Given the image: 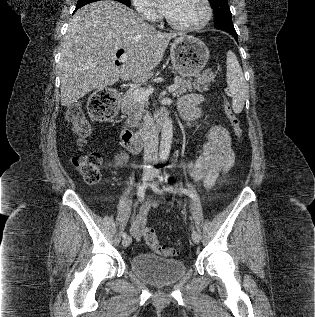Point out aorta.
Returning a JSON list of instances; mask_svg holds the SVG:
<instances>
[{"mask_svg": "<svg viewBox=\"0 0 315 317\" xmlns=\"http://www.w3.org/2000/svg\"><path fill=\"white\" fill-rule=\"evenodd\" d=\"M173 139V126L172 121L165 120L162 131H161V141H160V158L166 160L169 157L171 144Z\"/></svg>", "mask_w": 315, "mask_h": 317, "instance_id": "obj_1", "label": "aorta"}]
</instances>
